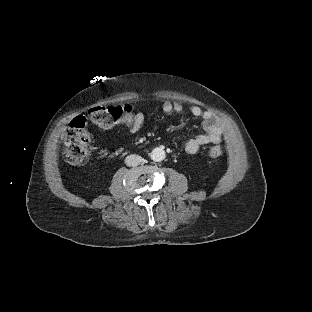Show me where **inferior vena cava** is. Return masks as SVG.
Here are the masks:
<instances>
[{
  "mask_svg": "<svg viewBox=\"0 0 312 312\" xmlns=\"http://www.w3.org/2000/svg\"><path fill=\"white\" fill-rule=\"evenodd\" d=\"M125 162L128 166H132V167L138 166L142 162V157L138 154H131L127 156Z\"/></svg>",
  "mask_w": 312,
  "mask_h": 312,
  "instance_id": "obj_1",
  "label": "inferior vena cava"
}]
</instances>
